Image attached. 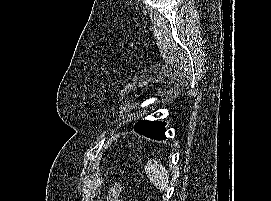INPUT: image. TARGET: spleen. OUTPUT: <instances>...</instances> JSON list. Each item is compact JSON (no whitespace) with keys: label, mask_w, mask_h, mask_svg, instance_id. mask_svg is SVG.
Segmentation results:
<instances>
[{"label":"spleen","mask_w":271,"mask_h":201,"mask_svg":"<svg viewBox=\"0 0 271 201\" xmlns=\"http://www.w3.org/2000/svg\"><path fill=\"white\" fill-rule=\"evenodd\" d=\"M146 173L154 186L164 191L168 188L169 176L166 168L155 160H150L145 166Z\"/></svg>","instance_id":"spleen-1"}]
</instances>
